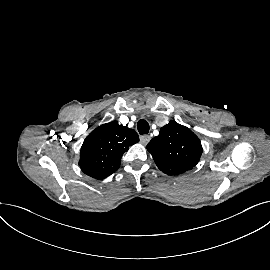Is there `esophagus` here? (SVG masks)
<instances>
[{"mask_svg":"<svg viewBox=\"0 0 270 270\" xmlns=\"http://www.w3.org/2000/svg\"><path fill=\"white\" fill-rule=\"evenodd\" d=\"M150 140H151V136L150 135H142V136H140V141L143 144H147Z\"/></svg>","mask_w":270,"mask_h":270,"instance_id":"obj_1","label":"esophagus"}]
</instances>
